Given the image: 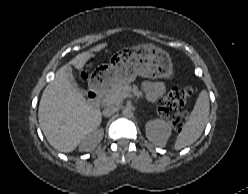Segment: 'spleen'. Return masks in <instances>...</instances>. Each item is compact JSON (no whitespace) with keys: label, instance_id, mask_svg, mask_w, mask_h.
Segmentation results:
<instances>
[{"label":"spleen","instance_id":"3e777b00","mask_svg":"<svg viewBox=\"0 0 248 194\" xmlns=\"http://www.w3.org/2000/svg\"><path fill=\"white\" fill-rule=\"evenodd\" d=\"M209 111V96L206 90H202L188 120L177 136L173 146L175 150H180L198 140L208 122Z\"/></svg>","mask_w":248,"mask_h":194}]
</instances>
